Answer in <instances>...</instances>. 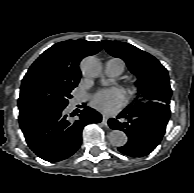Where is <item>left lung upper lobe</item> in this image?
Masks as SVG:
<instances>
[{
    "instance_id": "5c2ea615",
    "label": "left lung upper lobe",
    "mask_w": 194,
    "mask_h": 193,
    "mask_svg": "<svg viewBox=\"0 0 194 193\" xmlns=\"http://www.w3.org/2000/svg\"><path fill=\"white\" fill-rule=\"evenodd\" d=\"M106 51L124 60L137 75V97L126 109L134 110L169 104L171 88L166 68L152 55L137 47L119 41H103Z\"/></svg>"
}]
</instances>
